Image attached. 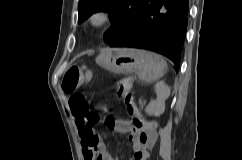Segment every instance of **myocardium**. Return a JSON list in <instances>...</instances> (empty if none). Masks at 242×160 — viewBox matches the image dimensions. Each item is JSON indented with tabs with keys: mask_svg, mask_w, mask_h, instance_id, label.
Segmentation results:
<instances>
[{
	"mask_svg": "<svg viewBox=\"0 0 242 160\" xmlns=\"http://www.w3.org/2000/svg\"><path fill=\"white\" fill-rule=\"evenodd\" d=\"M112 21V14L108 10H96L87 19L89 27L93 30H100Z\"/></svg>",
	"mask_w": 242,
	"mask_h": 160,
	"instance_id": "f54148a6",
	"label": "myocardium"
}]
</instances>
